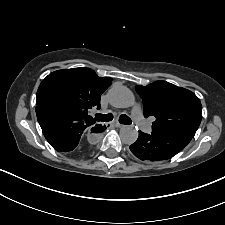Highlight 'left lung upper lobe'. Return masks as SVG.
I'll list each match as a JSON object with an SVG mask.
<instances>
[{
  "mask_svg": "<svg viewBox=\"0 0 225 225\" xmlns=\"http://www.w3.org/2000/svg\"><path fill=\"white\" fill-rule=\"evenodd\" d=\"M144 105V116H154L152 134L194 137L201 119L202 105L197 96L166 81L135 87Z\"/></svg>",
  "mask_w": 225,
  "mask_h": 225,
  "instance_id": "5c2ea615",
  "label": "left lung upper lobe"
}]
</instances>
